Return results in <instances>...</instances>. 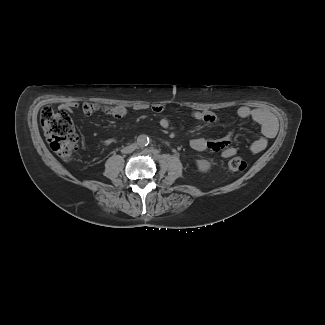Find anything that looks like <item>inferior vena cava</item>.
<instances>
[{
	"label": "inferior vena cava",
	"mask_w": 325,
	"mask_h": 325,
	"mask_svg": "<svg viewBox=\"0 0 325 325\" xmlns=\"http://www.w3.org/2000/svg\"><path fill=\"white\" fill-rule=\"evenodd\" d=\"M136 148V145L131 144L129 146L124 147L121 151L122 153H132Z\"/></svg>",
	"instance_id": "1"
}]
</instances>
